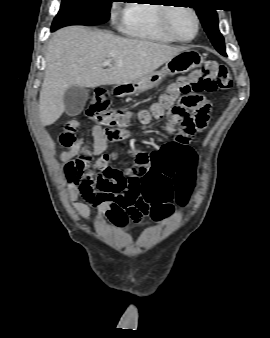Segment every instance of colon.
Instances as JSON below:
<instances>
[{
	"label": "colon",
	"instance_id": "5ec220e1",
	"mask_svg": "<svg viewBox=\"0 0 270 338\" xmlns=\"http://www.w3.org/2000/svg\"><path fill=\"white\" fill-rule=\"evenodd\" d=\"M232 86L233 80L228 68L223 64L208 61L202 69L176 78L159 100L145 112L125 116L121 109H109L110 97L101 90L90 99L86 115L91 121L107 128L108 135L120 134L126 122L144 124L163 117L165 113H168L172 120L181 119L182 132L160 150L159 154L163 156L178 151L181 145L189 141L188 135L198 133L205 127L208 107L203 104L199 94L229 90ZM163 137V132H158L154 136L155 140H161ZM133 157L131 174L125 175L112 169L108 171L107 178L102 184L103 189L116 204L111 221L120 226L126 224L128 220L141 222L150 212L156 217H162L168 212L167 207H150L144 201L143 195L149 193L150 170L142 166L141 158ZM81 174L82 163L74 160L66 164L65 176L68 184L77 182ZM187 193L185 190H179L176 199L180 204L185 203Z\"/></svg>",
	"mask_w": 270,
	"mask_h": 338
}]
</instances>
